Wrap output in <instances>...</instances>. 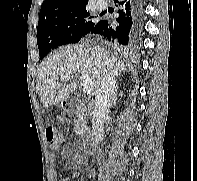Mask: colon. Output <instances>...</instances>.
<instances>
[{
    "label": "colon",
    "instance_id": "5ec220e1",
    "mask_svg": "<svg viewBox=\"0 0 197 181\" xmlns=\"http://www.w3.org/2000/svg\"><path fill=\"white\" fill-rule=\"evenodd\" d=\"M45 135L49 145L52 148H57L61 139L57 133L56 128L53 126H48L45 130Z\"/></svg>",
    "mask_w": 197,
    "mask_h": 181
}]
</instances>
